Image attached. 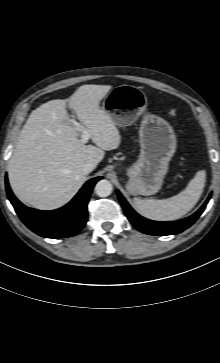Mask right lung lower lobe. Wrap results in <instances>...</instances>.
Segmentation results:
<instances>
[{
    "label": "right lung lower lobe",
    "mask_w": 220,
    "mask_h": 363,
    "mask_svg": "<svg viewBox=\"0 0 220 363\" xmlns=\"http://www.w3.org/2000/svg\"><path fill=\"white\" fill-rule=\"evenodd\" d=\"M89 180L66 206L52 211H41L23 205L12 193L7 177V196L22 222L36 234L46 238H65L76 235L87 222V204L95 183Z\"/></svg>",
    "instance_id": "right-lung-lower-lobe-1"
}]
</instances>
